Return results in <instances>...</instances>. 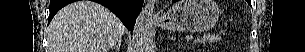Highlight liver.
I'll list each match as a JSON object with an SVG mask.
<instances>
[{
  "instance_id": "1",
  "label": "liver",
  "mask_w": 305,
  "mask_h": 52,
  "mask_svg": "<svg viewBox=\"0 0 305 52\" xmlns=\"http://www.w3.org/2000/svg\"><path fill=\"white\" fill-rule=\"evenodd\" d=\"M124 31L121 21L106 7L76 1L62 8L50 23L48 52H108Z\"/></svg>"
}]
</instances>
